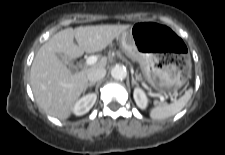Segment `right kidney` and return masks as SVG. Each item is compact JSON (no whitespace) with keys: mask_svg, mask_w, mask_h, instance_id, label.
<instances>
[{"mask_svg":"<svg viewBox=\"0 0 225 155\" xmlns=\"http://www.w3.org/2000/svg\"><path fill=\"white\" fill-rule=\"evenodd\" d=\"M96 94L91 93L83 96L74 106L73 111L76 115L81 116L89 112L96 102Z\"/></svg>","mask_w":225,"mask_h":155,"instance_id":"ca27d5eb","label":"right kidney"}]
</instances>
